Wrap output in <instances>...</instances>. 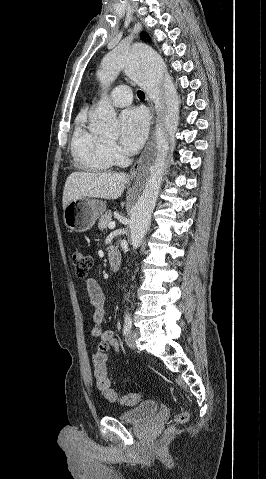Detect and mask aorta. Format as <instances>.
<instances>
[{"label": "aorta", "mask_w": 266, "mask_h": 479, "mask_svg": "<svg viewBox=\"0 0 266 479\" xmlns=\"http://www.w3.org/2000/svg\"><path fill=\"white\" fill-rule=\"evenodd\" d=\"M124 70L140 83L155 103L158 121L155 129L156 151L145 175L133 191L130 202V235L134 243L141 242L151 222L167 166L168 130L174 119V100L168 89V75L162 58L148 45L136 43L128 48H115L102 60L98 78L104 85L113 82ZM94 132L116 136L119 125L116 113L107 99H102L90 116Z\"/></svg>", "instance_id": "obj_1"}]
</instances>
